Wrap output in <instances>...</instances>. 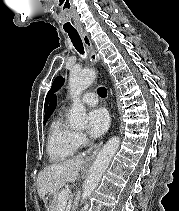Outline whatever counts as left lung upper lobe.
I'll list each match as a JSON object with an SVG mask.
<instances>
[{
	"label": "left lung upper lobe",
	"instance_id": "1",
	"mask_svg": "<svg viewBox=\"0 0 179 211\" xmlns=\"http://www.w3.org/2000/svg\"><path fill=\"white\" fill-rule=\"evenodd\" d=\"M63 78L61 76H58L54 82H53V86L52 88L50 89V91L48 92L47 96H46V99H45V108L47 107V104L49 102V99L50 97L52 96V94L57 91L58 89L61 88V86L63 85Z\"/></svg>",
	"mask_w": 179,
	"mask_h": 211
}]
</instances>
